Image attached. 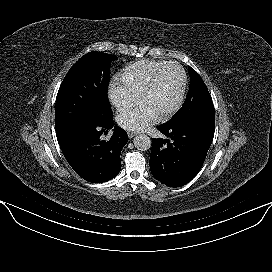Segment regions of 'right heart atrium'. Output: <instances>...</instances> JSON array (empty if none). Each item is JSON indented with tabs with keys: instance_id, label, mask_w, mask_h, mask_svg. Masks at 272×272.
<instances>
[{
	"instance_id": "d8ad5b80",
	"label": "right heart atrium",
	"mask_w": 272,
	"mask_h": 272,
	"mask_svg": "<svg viewBox=\"0 0 272 272\" xmlns=\"http://www.w3.org/2000/svg\"><path fill=\"white\" fill-rule=\"evenodd\" d=\"M108 96L113 106L118 111H123L138 101V94L127 88L121 81L113 80L109 84Z\"/></svg>"
}]
</instances>
